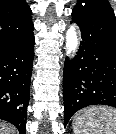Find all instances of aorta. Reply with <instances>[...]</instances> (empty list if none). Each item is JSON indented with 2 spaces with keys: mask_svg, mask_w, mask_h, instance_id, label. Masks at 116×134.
I'll use <instances>...</instances> for the list:
<instances>
[{
  "mask_svg": "<svg viewBox=\"0 0 116 134\" xmlns=\"http://www.w3.org/2000/svg\"><path fill=\"white\" fill-rule=\"evenodd\" d=\"M78 44L76 28L71 25L66 33V52L68 56H73L76 53Z\"/></svg>",
  "mask_w": 116,
  "mask_h": 134,
  "instance_id": "obj_1",
  "label": "aorta"
}]
</instances>
